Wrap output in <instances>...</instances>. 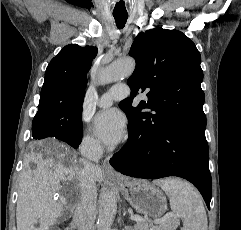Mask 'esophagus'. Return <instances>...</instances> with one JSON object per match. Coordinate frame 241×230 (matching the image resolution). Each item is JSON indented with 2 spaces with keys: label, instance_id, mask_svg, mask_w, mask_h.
Wrapping results in <instances>:
<instances>
[{
  "label": "esophagus",
  "instance_id": "34e87169",
  "mask_svg": "<svg viewBox=\"0 0 241 230\" xmlns=\"http://www.w3.org/2000/svg\"><path fill=\"white\" fill-rule=\"evenodd\" d=\"M111 156H107L103 161H102V167L104 169V171L109 174V175H113V176H117L118 173L114 170V168L110 165L109 160H110Z\"/></svg>",
  "mask_w": 241,
  "mask_h": 230
}]
</instances>
